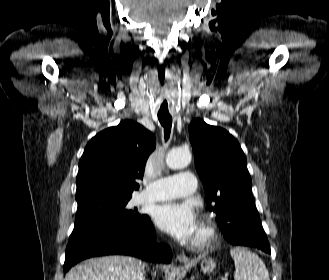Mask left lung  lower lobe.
I'll return each instance as SVG.
<instances>
[{"label":"left lung lower lobe","instance_id":"obj_1","mask_svg":"<svg viewBox=\"0 0 329 280\" xmlns=\"http://www.w3.org/2000/svg\"><path fill=\"white\" fill-rule=\"evenodd\" d=\"M225 239L233 245L250 246L271 253L259 213L253 202L245 205L236 217L222 227Z\"/></svg>","mask_w":329,"mask_h":280}]
</instances>
